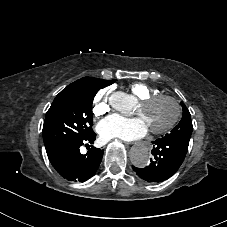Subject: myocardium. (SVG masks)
Instances as JSON below:
<instances>
[{
    "mask_svg": "<svg viewBox=\"0 0 227 227\" xmlns=\"http://www.w3.org/2000/svg\"><path fill=\"white\" fill-rule=\"evenodd\" d=\"M161 100H168L173 104L174 114H173L172 118L170 119V121L164 127L149 129L154 134H162V133H165V132L173 129L178 124V122L180 121L181 116H182V106H181L180 101L172 95H167V94H162V93L157 94V95L148 96V97L140 100V109L143 110Z\"/></svg>",
    "mask_w": 227,
    "mask_h": 227,
    "instance_id": "obj_1",
    "label": "myocardium"
}]
</instances>
